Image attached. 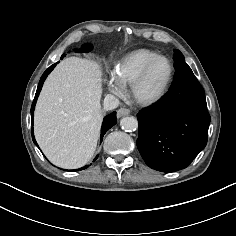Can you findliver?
Returning a JSON list of instances; mask_svg holds the SVG:
<instances>
[{"label":"liver","instance_id":"6515ba94","mask_svg":"<svg viewBox=\"0 0 236 236\" xmlns=\"http://www.w3.org/2000/svg\"><path fill=\"white\" fill-rule=\"evenodd\" d=\"M101 72L80 58L61 61L46 79L34 115V134L56 166L76 169L93 157L102 123Z\"/></svg>","mask_w":236,"mask_h":236}]
</instances>
